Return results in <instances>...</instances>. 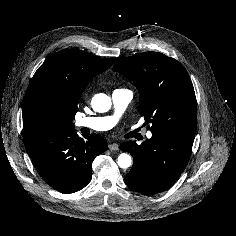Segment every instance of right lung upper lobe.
Wrapping results in <instances>:
<instances>
[{
    "instance_id": "right-lung-upper-lobe-1",
    "label": "right lung upper lobe",
    "mask_w": 236,
    "mask_h": 236,
    "mask_svg": "<svg viewBox=\"0 0 236 236\" xmlns=\"http://www.w3.org/2000/svg\"><path fill=\"white\" fill-rule=\"evenodd\" d=\"M115 58H99L81 50H61L50 56L36 71L23 102V139L25 147L74 130L80 95L90 80L108 69ZM48 109L64 125L62 131H48L39 114Z\"/></svg>"
}]
</instances>
